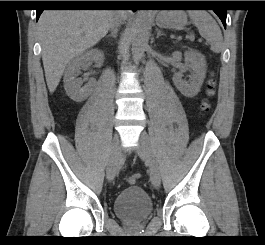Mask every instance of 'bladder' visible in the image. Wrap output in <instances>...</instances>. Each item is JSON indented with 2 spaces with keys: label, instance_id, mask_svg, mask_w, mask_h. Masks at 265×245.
I'll list each match as a JSON object with an SVG mask.
<instances>
[{
  "label": "bladder",
  "instance_id": "bladder-1",
  "mask_svg": "<svg viewBox=\"0 0 265 245\" xmlns=\"http://www.w3.org/2000/svg\"><path fill=\"white\" fill-rule=\"evenodd\" d=\"M113 209L117 217L128 224H133L152 214L153 203L142 188L128 187L117 195Z\"/></svg>",
  "mask_w": 265,
  "mask_h": 245
}]
</instances>
